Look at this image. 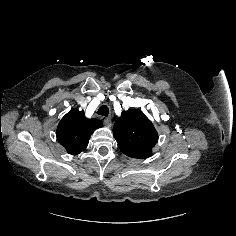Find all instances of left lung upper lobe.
<instances>
[{"instance_id":"left-lung-upper-lobe-1","label":"left lung upper lobe","mask_w":236,"mask_h":236,"mask_svg":"<svg viewBox=\"0 0 236 236\" xmlns=\"http://www.w3.org/2000/svg\"><path fill=\"white\" fill-rule=\"evenodd\" d=\"M113 135L121 151L151 152L158 141L155 127L140 109L122 112L114 124Z\"/></svg>"}]
</instances>
